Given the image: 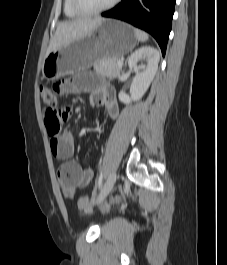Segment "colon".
<instances>
[{
	"instance_id": "obj_1",
	"label": "colon",
	"mask_w": 227,
	"mask_h": 265,
	"mask_svg": "<svg viewBox=\"0 0 227 265\" xmlns=\"http://www.w3.org/2000/svg\"><path fill=\"white\" fill-rule=\"evenodd\" d=\"M40 93L44 103L47 105V109L45 111V126L48 134L50 136H54L59 133L62 123L69 118L71 112H61V107L68 106H59L55 90L47 87H41ZM112 201L118 203L122 201V198L115 196ZM91 202L92 198L83 197L78 201V207L88 209Z\"/></svg>"
}]
</instances>
